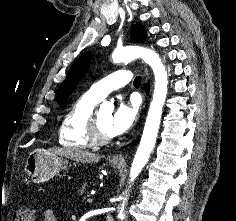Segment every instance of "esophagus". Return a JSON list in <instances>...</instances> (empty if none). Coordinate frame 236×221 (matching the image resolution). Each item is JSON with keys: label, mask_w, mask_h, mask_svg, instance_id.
<instances>
[{"label": "esophagus", "mask_w": 236, "mask_h": 221, "mask_svg": "<svg viewBox=\"0 0 236 221\" xmlns=\"http://www.w3.org/2000/svg\"><path fill=\"white\" fill-rule=\"evenodd\" d=\"M147 74H148V71H147V69H145V75H147ZM111 161L114 162V163L124 162V154H123V152H120V153L114 155L112 157Z\"/></svg>", "instance_id": "esophagus-1"}]
</instances>
